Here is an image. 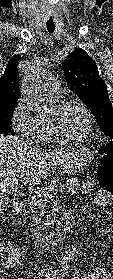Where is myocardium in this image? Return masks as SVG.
<instances>
[{
  "label": "myocardium",
  "mask_w": 113,
  "mask_h": 279,
  "mask_svg": "<svg viewBox=\"0 0 113 279\" xmlns=\"http://www.w3.org/2000/svg\"><path fill=\"white\" fill-rule=\"evenodd\" d=\"M69 105H77L85 114L86 119H87V128L85 132L79 136L76 137H67L61 135L58 130L55 128L53 123L49 120H46V124L50 130L51 135L61 143H78L86 140L93 132L94 128V118L89 110V108L79 99L76 98H67L59 101L56 105L55 108L58 110L64 109L65 107Z\"/></svg>",
  "instance_id": "obj_1"
}]
</instances>
